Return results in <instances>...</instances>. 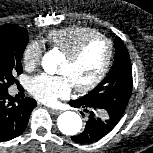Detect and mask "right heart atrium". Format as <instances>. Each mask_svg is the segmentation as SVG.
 Returning a JSON list of instances; mask_svg holds the SVG:
<instances>
[{
	"label": "right heart atrium",
	"mask_w": 153,
	"mask_h": 153,
	"mask_svg": "<svg viewBox=\"0 0 153 153\" xmlns=\"http://www.w3.org/2000/svg\"><path fill=\"white\" fill-rule=\"evenodd\" d=\"M43 47L37 40L30 41L23 51V62L27 69L37 67L42 59Z\"/></svg>",
	"instance_id": "right-heart-atrium-1"
}]
</instances>
